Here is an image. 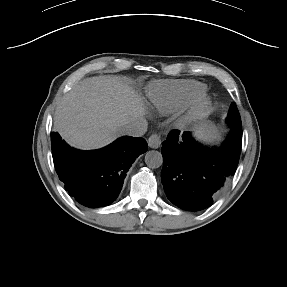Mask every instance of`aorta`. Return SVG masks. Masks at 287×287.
Segmentation results:
<instances>
[{"mask_svg":"<svg viewBox=\"0 0 287 287\" xmlns=\"http://www.w3.org/2000/svg\"><path fill=\"white\" fill-rule=\"evenodd\" d=\"M145 163L149 168H159L163 164L161 152L156 150L148 151L145 155Z\"/></svg>","mask_w":287,"mask_h":287,"instance_id":"1","label":"aorta"}]
</instances>
